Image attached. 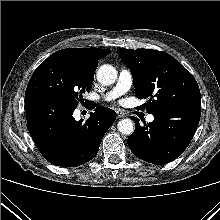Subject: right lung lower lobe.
I'll list each match as a JSON object with an SVG mask.
<instances>
[{
    "label": "right lung lower lobe",
    "instance_id": "obj_1",
    "mask_svg": "<svg viewBox=\"0 0 220 220\" xmlns=\"http://www.w3.org/2000/svg\"><path fill=\"white\" fill-rule=\"evenodd\" d=\"M28 130L41 154L61 167H77L93 159L106 131L116 119L115 111L98 106L86 122L76 121V106L62 100L31 95L25 97Z\"/></svg>",
    "mask_w": 220,
    "mask_h": 220
}]
</instances>
